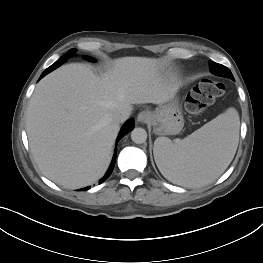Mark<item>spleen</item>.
<instances>
[{
  "mask_svg": "<svg viewBox=\"0 0 263 263\" xmlns=\"http://www.w3.org/2000/svg\"><path fill=\"white\" fill-rule=\"evenodd\" d=\"M239 127L238 112L228 108L180 141L158 137L153 150L158 169L167 180L180 186L212 183L234 158Z\"/></svg>",
  "mask_w": 263,
  "mask_h": 263,
  "instance_id": "obj_1",
  "label": "spleen"
}]
</instances>
